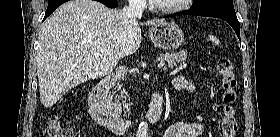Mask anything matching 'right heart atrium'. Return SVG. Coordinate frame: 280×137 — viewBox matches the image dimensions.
<instances>
[{
	"mask_svg": "<svg viewBox=\"0 0 280 137\" xmlns=\"http://www.w3.org/2000/svg\"><path fill=\"white\" fill-rule=\"evenodd\" d=\"M134 4L135 6L142 8L145 6L146 2L144 0H134Z\"/></svg>",
	"mask_w": 280,
	"mask_h": 137,
	"instance_id": "1",
	"label": "right heart atrium"
}]
</instances>
